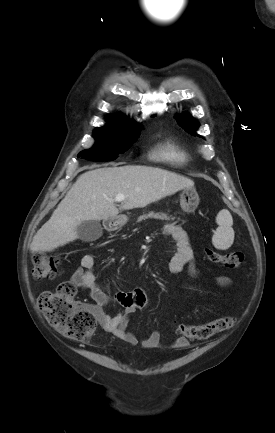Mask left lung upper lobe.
Returning <instances> with one entry per match:
<instances>
[{
	"instance_id": "5c2ea615",
	"label": "left lung upper lobe",
	"mask_w": 275,
	"mask_h": 433,
	"mask_svg": "<svg viewBox=\"0 0 275 433\" xmlns=\"http://www.w3.org/2000/svg\"><path fill=\"white\" fill-rule=\"evenodd\" d=\"M176 120L186 132L190 133L193 136H197L195 130L197 129L198 125L190 122L188 117H186L185 115H181L177 117Z\"/></svg>"
}]
</instances>
